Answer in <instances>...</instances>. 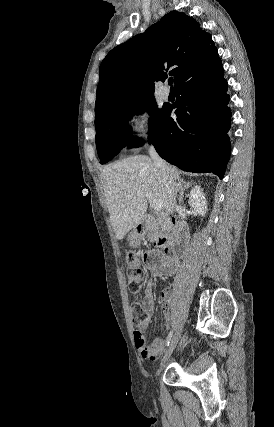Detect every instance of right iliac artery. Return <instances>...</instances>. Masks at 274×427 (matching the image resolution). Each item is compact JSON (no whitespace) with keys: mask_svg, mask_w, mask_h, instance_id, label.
Masks as SVG:
<instances>
[{"mask_svg":"<svg viewBox=\"0 0 274 427\" xmlns=\"http://www.w3.org/2000/svg\"><path fill=\"white\" fill-rule=\"evenodd\" d=\"M172 335H173V331H170L169 334H168V336H167V339H166V347L169 346L171 338H172Z\"/></svg>","mask_w":274,"mask_h":427,"instance_id":"right-iliac-artery-1","label":"right iliac artery"}]
</instances>
